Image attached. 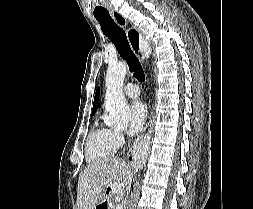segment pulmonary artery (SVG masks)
Listing matches in <instances>:
<instances>
[{
  "instance_id": "obj_1",
  "label": "pulmonary artery",
  "mask_w": 253,
  "mask_h": 209,
  "mask_svg": "<svg viewBox=\"0 0 253 209\" xmlns=\"http://www.w3.org/2000/svg\"><path fill=\"white\" fill-rule=\"evenodd\" d=\"M124 92L128 97L134 98L140 94L139 87L136 84L129 83L124 87Z\"/></svg>"
}]
</instances>
